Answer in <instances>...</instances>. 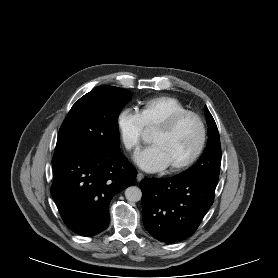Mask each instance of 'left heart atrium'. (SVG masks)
Returning <instances> with one entry per match:
<instances>
[{
    "mask_svg": "<svg viewBox=\"0 0 278 278\" xmlns=\"http://www.w3.org/2000/svg\"><path fill=\"white\" fill-rule=\"evenodd\" d=\"M137 165L147 172H158L168 167V162L162 149L152 144L136 153Z\"/></svg>",
    "mask_w": 278,
    "mask_h": 278,
    "instance_id": "left-heart-atrium-1",
    "label": "left heart atrium"
}]
</instances>
